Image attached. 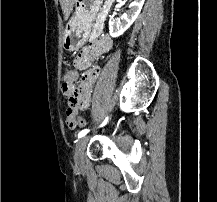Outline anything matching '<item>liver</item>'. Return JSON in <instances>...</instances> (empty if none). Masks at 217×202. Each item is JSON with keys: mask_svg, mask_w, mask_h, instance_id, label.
Masks as SVG:
<instances>
[{"mask_svg": "<svg viewBox=\"0 0 217 202\" xmlns=\"http://www.w3.org/2000/svg\"><path fill=\"white\" fill-rule=\"evenodd\" d=\"M76 0H60L65 20H68Z\"/></svg>", "mask_w": 217, "mask_h": 202, "instance_id": "liver-1", "label": "liver"}]
</instances>
